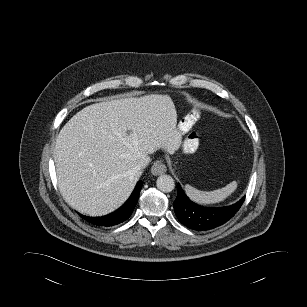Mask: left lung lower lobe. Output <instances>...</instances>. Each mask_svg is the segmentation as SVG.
<instances>
[{
	"label": "left lung lower lobe",
	"instance_id": "obj_1",
	"mask_svg": "<svg viewBox=\"0 0 307 307\" xmlns=\"http://www.w3.org/2000/svg\"><path fill=\"white\" fill-rule=\"evenodd\" d=\"M245 196L238 202L225 207H204L192 202L177 186V198L173 203L178 220L187 228L206 231L216 228L231 219L240 209Z\"/></svg>",
	"mask_w": 307,
	"mask_h": 307
}]
</instances>
